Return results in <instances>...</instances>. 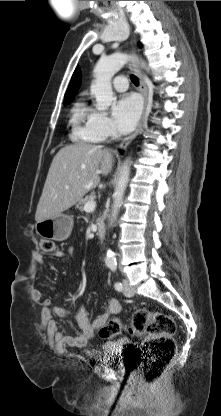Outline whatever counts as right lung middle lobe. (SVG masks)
Wrapping results in <instances>:
<instances>
[{
	"mask_svg": "<svg viewBox=\"0 0 221 416\" xmlns=\"http://www.w3.org/2000/svg\"><path fill=\"white\" fill-rule=\"evenodd\" d=\"M70 103H71L70 101H64V105H68Z\"/></svg>",
	"mask_w": 221,
	"mask_h": 416,
	"instance_id": "dd1d6c3e",
	"label": "right lung middle lobe"
}]
</instances>
